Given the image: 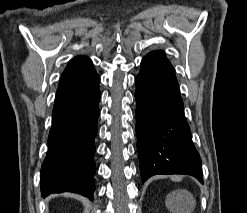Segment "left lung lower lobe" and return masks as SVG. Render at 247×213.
Wrapping results in <instances>:
<instances>
[{"label": "left lung lower lobe", "instance_id": "obj_1", "mask_svg": "<svg viewBox=\"0 0 247 213\" xmlns=\"http://www.w3.org/2000/svg\"><path fill=\"white\" fill-rule=\"evenodd\" d=\"M135 82L142 182L156 174H189L203 183L202 163L184 116L175 71L163 51L142 59Z\"/></svg>", "mask_w": 247, "mask_h": 213}]
</instances>
